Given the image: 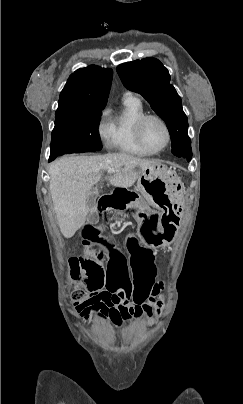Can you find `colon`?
Segmentation results:
<instances>
[{
	"label": "colon",
	"instance_id": "colon-1",
	"mask_svg": "<svg viewBox=\"0 0 243 404\" xmlns=\"http://www.w3.org/2000/svg\"><path fill=\"white\" fill-rule=\"evenodd\" d=\"M84 258L83 259H79V258H72L71 262H70V266H71V272H72V276L75 279H78L81 275L83 271V264L84 263H94L96 268L99 270L102 268V263H101V259H100V255H98L97 253H94V251L91 250V248L86 247L85 253L83 254ZM73 298L76 300H81L83 298V292L76 290L73 293ZM144 298L142 293H136L133 296V300L135 302H140L142 301V299Z\"/></svg>",
	"mask_w": 243,
	"mask_h": 404
}]
</instances>
